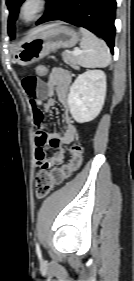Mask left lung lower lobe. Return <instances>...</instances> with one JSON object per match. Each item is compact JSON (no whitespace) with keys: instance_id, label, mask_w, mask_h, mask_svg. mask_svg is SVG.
I'll list each match as a JSON object with an SVG mask.
<instances>
[{"instance_id":"1","label":"left lung lower lobe","mask_w":134,"mask_h":281,"mask_svg":"<svg viewBox=\"0 0 134 281\" xmlns=\"http://www.w3.org/2000/svg\"><path fill=\"white\" fill-rule=\"evenodd\" d=\"M116 0H50L43 17L36 23L62 20L100 35L114 48Z\"/></svg>"}]
</instances>
